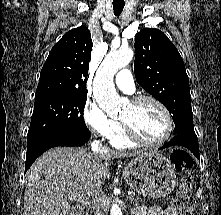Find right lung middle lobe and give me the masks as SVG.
Listing matches in <instances>:
<instances>
[{
  "mask_svg": "<svg viewBox=\"0 0 221 215\" xmlns=\"http://www.w3.org/2000/svg\"><path fill=\"white\" fill-rule=\"evenodd\" d=\"M87 95H58L35 101L27 142L50 135L89 131L83 118Z\"/></svg>",
  "mask_w": 221,
  "mask_h": 215,
  "instance_id": "dd1d6c3e",
  "label": "right lung middle lobe"
}]
</instances>
